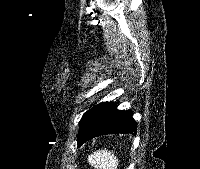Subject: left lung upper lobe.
I'll list each match as a JSON object with an SVG mask.
<instances>
[{
  "label": "left lung upper lobe",
  "mask_w": 200,
  "mask_h": 169,
  "mask_svg": "<svg viewBox=\"0 0 200 169\" xmlns=\"http://www.w3.org/2000/svg\"><path fill=\"white\" fill-rule=\"evenodd\" d=\"M89 111H90V110H88V111L83 115V117H82V119L80 120L79 123H81V122L83 121V119L85 118V116L87 115V113H88Z\"/></svg>",
  "instance_id": "1"
}]
</instances>
